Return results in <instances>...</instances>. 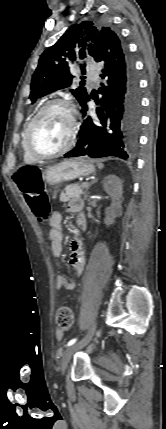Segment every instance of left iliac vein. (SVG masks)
Returning a JSON list of instances; mask_svg holds the SVG:
<instances>
[{"mask_svg": "<svg viewBox=\"0 0 166 429\" xmlns=\"http://www.w3.org/2000/svg\"><path fill=\"white\" fill-rule=\"evenodd\" d=\"M96 330V322H94L90 328V330L88 331L87 335L85 336V338L76 343L73 344L69 347H67L65 349V351L63 352V355L61 357V373L64 374L67 370L68 364L72 358V355L79 349H81L82 347H84L85 345H87L90 340L92 339L94 333Z\"/></svg>", "mask_w": 166, "mask_h": 429, "instance_id": "left-iliac-vein-1", "label": "left iliac vein"}]
</instances>
